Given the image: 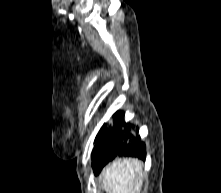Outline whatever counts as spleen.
Instances as JSON below:
<instances>
[{
  "mask_svg": "<svg viewBox=\"0 0 221 193\" xmlns=\"http://www.w3.org/2000/svg\"><path fill=\"white\" fill-rule=\"evenodd\" d=\"M142 184V163L137 159H119L102 173V188L107 193H140Z\"/></svg>",
  "mask_w": 221,
  "mask_h": 193,
  "instance_id": "1",
  "label": "spleen"
}]
</instances>
